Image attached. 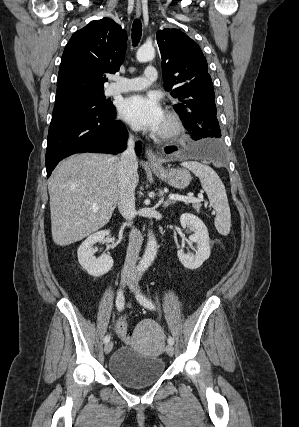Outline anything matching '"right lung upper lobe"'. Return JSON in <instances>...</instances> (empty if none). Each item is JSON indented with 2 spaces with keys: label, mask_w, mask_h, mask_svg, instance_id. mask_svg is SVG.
<instances>
[{
  "label": "right lung upper lobe",
  "mask_w": 299,
  "mask_h": 427,
  "mask_svg": "<svg viewBox=\"0 0 299 427\" xmlns=\"http://www.w3.org/2000/svg\"><path fill=\"white\" fill-rule=\"evenodd\" d=\"M126 47V31L107 18L76 31L62 55L55 102L104 92L105 73L119 70Z\"/></svg>",
  "instance_id": "obj_1"
}]
</instances>
